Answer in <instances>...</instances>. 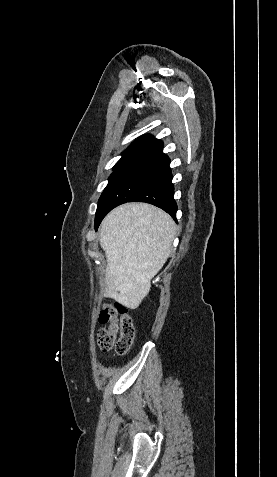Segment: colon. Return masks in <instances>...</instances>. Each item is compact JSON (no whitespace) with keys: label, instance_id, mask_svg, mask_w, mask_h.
Here are the masks:
<instances>
[{"label":"colon","instance_id":"obj_1","mask_svg":"<svg viewBox=\"0 0 277 477\" xmlns=\"http://www.w3.org/2000/svg\"><path fill=\"white\" fill-rule=\"evenodd\" d=\"M99 322L108 324L97 332V344L103 351L115 350L117 355H125L133 343L135 329L132 318L125 306L118 302L104 304L99 314Z\"/></svg>","mask_w":277,"mask_h":477}]
</instances>
